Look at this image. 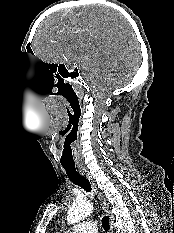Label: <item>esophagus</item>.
Masks as SVG:
<instances>
[{"mask_svg":"<svg viewBox=\"0 0 174 233\" xmlns=\"http://www.w3.org/2000/svg\"><path fill=\"white\" fill-rule=\"evenodd\" d=\"M78 171L79 173L84 176L86 179H88L93 188H94V191L98 197V199L100 200L101 202V205H102V209L103 211L109 216L110 218V231L111 233H114V230H113V219H112V216L110 214V209H109V205L106 201V199L104 198L102 192L99 190V188L97 187L96 183L93 181L92 177L89 175L88 171L85 169V168H78Z\"/></svg>","mask_w":174,"mask_h":233,"instance_id":"34e87169","label":"esophagus"}]
</instances>
